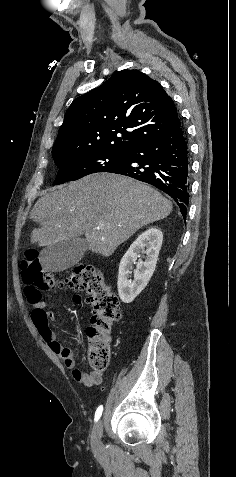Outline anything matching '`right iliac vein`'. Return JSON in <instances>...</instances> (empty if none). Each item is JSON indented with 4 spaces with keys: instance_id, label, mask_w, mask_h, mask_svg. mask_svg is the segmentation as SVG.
<instances>
[{
    "instance_id": "63e3f726",
    "label": "right iliac vein",
    "mask_w": 236,
    "mask_h": 477,
    "mask_svg": "<svg viewBox=\"0 0 236 477\" xmlns=\"http://www.w3.org/2000/svg\"><path fill=\"white\" fill-rule=\"evenodd\" d=\"M103 433V421L99 420L96 426L94 427L93 434H92V447L95 453H100L103 449V445L101 442V437Z\"/></svg>"
}]
</instances>
